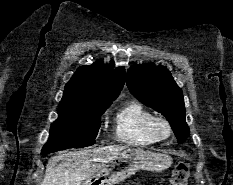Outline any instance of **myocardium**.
Segmentation results:
<instances>
[{
	"mask_svg": "<svg viewBox=\"0 0 233 185\" xmlns=\"http://www.w3.org/2000/svg\"><path fill=\"white\" fill-rule=\"evenodd\" d=\"M152 129L159 140L167 139L172 135V126L165 117H155Z\"/></svg>",
	"mask_w": 233,
	"mask_h": 185,
	"instance_id": "f54148a6",
	"label": "myocardium"
}]
</instances>
